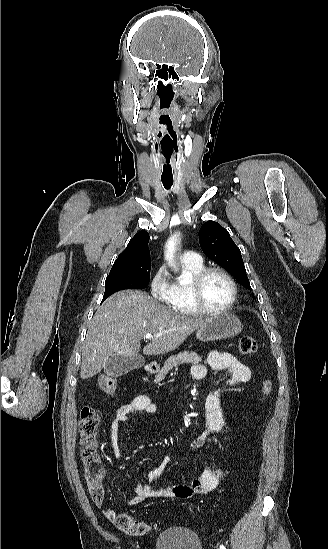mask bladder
Returning a JSON list of instances; mask_svg holds the SVG:
<instances>
[{
    "mask_svg": "<svg viewBox=\"0 0 328 549\" xmlns=\"http://www.w3.org/2000/svg\"><path fill=\"white\" fill-rule=\"evenodd\" d=\"M182 528H171L158 536L156 549H201L200 537L183 536Z\"/></svg>",
    "mask_w": 328,
    "mask_h": 549,
    "instance_id": "obj_1",
    "label": "bladder"
}]
</instances>
